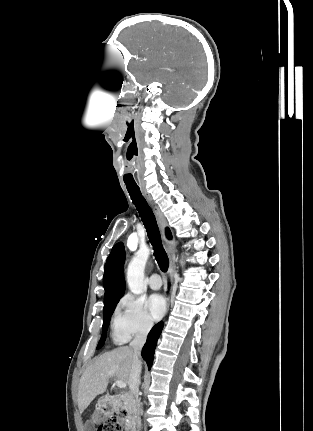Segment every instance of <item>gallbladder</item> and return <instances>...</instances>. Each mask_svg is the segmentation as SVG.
<instances>
[{
    "label": "gallbladder",
    "mask_w": 313,
    "mask_h": 431,
    "mask_svg": "<svg viewBox=\"0 0 313 431\" xmlns=\"http://www.w3.org/2000/svg\"><path fill=\"white\" fill-rule=\"evenodd\" d=\"M91 425H92V422H88V423H87V431H90V430H91Z\"/></svg>",
    "instance_id": "obj_1"
}]
</instances>
